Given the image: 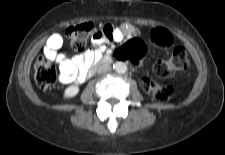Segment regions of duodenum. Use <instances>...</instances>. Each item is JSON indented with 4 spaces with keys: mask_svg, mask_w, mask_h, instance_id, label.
<instances>
[{
    "mask_svg": "<svg viewBox=\"0 0 225 155\" xmlns=\"http://www.w3.org/2000/svg\"><path fill=\"white\" fill-rule=\"evenodd\" d=\"M112 61V57L109 55L103 56L96 62V65H103V64H109ZM93 70L89 72V75H91Z\"/></svg>",
    "mask_w": 225,
    "mask_h": 155,
    "instance_id": "410a0bca",
    "label": "duodenum"
}]
</instances>
